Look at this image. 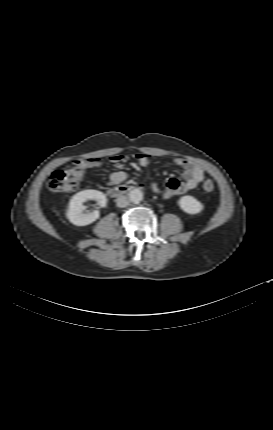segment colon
Segmentation results:
<instances>
[{
	"label": "colon",
	"mask_w": 273,
	"mask_h": 430,
	"mask_svg": "<svg viewBox=\"0 0 273 430\" xmlns=\"http://www.w3.org/2000/svg\"><path fill=\"white\" fill-rule=\"evenodd\" d=\"M83 168L80 166H72L65 170H56L50 175L47 186L51 192L54 193H64L71 192L75 190L82 179ZM215 185L212 180L207 179L203 185L202 189L204 192H212Z\"/></svg>",
	"instance_id": "5ec220e1"
}]
</instances>
